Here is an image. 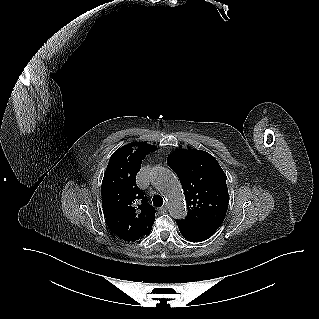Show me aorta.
<instances>
[{
	"mask_svg": "<svg viewBox=\"0 0 319 319\" xmlns=\"http://www.w3.org/2000/svg\"><path fill=\"white\" fill-rule=\"evenodd\" d=\"M152 183L162 191L168 204L169 213L175 219L186 216L180 184L174 173L164 167H156L151 174Z\"/></svg>",
	"mask_w": 319,
	"mask_h": 319,
	"instance_id": "aorta-1",
	"label": "aorta"
}]
</instances>
